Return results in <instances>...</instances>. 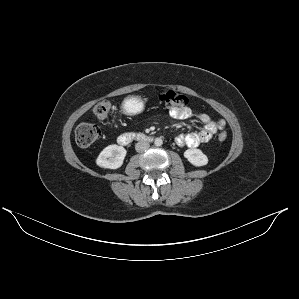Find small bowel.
I'll use <instances>...</instances> for the list:
<instances>
[{
  "label": "small bowel",
  "instance_id": "small-bowel-1",
  "mask_svg": "<svg viewBox=\"0 0 299 299\" xmlns=\"http://www.w3.org/2000/svg\"><path fill=\"white\" fill-rule=\"evenodd\" d=\"M169 114L178 120L196 118L203 124L200 131L178 135L175 139L178 146L197 147L208 142L218 131L223 130L226 126L225 120L220 119L213 121L208 114L197 111L186 105L171 108Z\"/></svg>",
  "mask_w": 299,
  "mask_h": 299
}]
</instances>
